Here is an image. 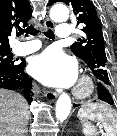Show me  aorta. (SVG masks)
<instances>
[{"mask_svg":"<svg viewBox=\"0 0 117 136\" xmlns=\"http://www.w3.org/2000/svg\"><path fill=\"white\" fill-rule=\"evenodd\" d=\"M50 17L56 22H63L69 18V9L65 5H55L50 10ZM71 110V99L67 94H62L56 103V118L64 121Z\"/></svg>","mask_w":117,"mask_h":136,"instance_id":"762f6f07","label":"aorta"}]
</instances>
